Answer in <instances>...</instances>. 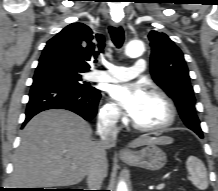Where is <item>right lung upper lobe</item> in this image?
<instances>
[{
    "label": "right lung upper lobe",
    "mask_w": 218,
    "mask_h": 191,
    "mask_svg": "<svg viewBox=\"0 0 218 191\" xmlns=\"http://www.w3.org/2000/svg\"><path fill=\"white\" fill-rule=\"evenodd\" d=\"M104 37L83 23H72L47 42L42 56H53L87 72L88 62L103 52Z\"/></svg>",
    "instance_id": "obj_1"
}]
</instances>
